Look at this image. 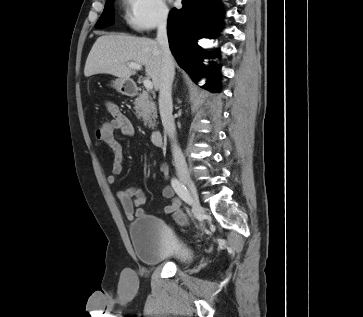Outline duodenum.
<instances>
[{
	"instance_id": "1",
	"label": "duodenum",
	"mask_w": 363,
	"mask_h": 317,
	"mask_svg": "<svg viewBox=\"0 0 363 317\" xmlns=\"http://www.w3.org/2000/svg\"><path fill=\"white\" fill-rule=\"evenodd\" d=\"M138 91V88L135 84H130L126 87V92L129 95H135ZM151 141L152 143L157 146L161 147L163 146V135L162 132L158 129H155L151 132Z\"/></svg>"
}]
</instances>
